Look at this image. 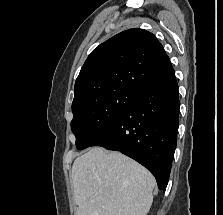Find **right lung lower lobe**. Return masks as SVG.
Here are the masks:
<instances>
[{
  "instance_id": "obj_1",
  "label": "right lung lower lobe",
  "mask_w": 223,
  "mask_h": 215,
  "mask_svg": "<svg viewBox=\"0 0 223 215\" xmlns=\"http://www.w3.org/2000/svg\"><path fill=\"white\" fill-rule=\"evenodd\" d=\"M178 84L169 81L140 93L120 119L91 146L120 151L146 167L165 191L179 126Z\"/></svg>"
}]
</instances>
